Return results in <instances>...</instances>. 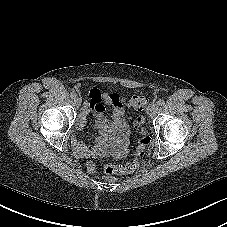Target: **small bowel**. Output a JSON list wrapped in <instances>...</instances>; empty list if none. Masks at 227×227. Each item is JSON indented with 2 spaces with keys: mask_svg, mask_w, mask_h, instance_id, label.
Returning <instances> with one entry per match:
<instances>
[{
  "mask_svg": "<svg viewBox=\"0 0 227 227\" xmlns=\"http://www.w3.org/2000/svg\"><path fill=\"white\" fill-rule=\"evenodd\" d=\"M111 109V121L108 122L104 112L105 107ZM95 117L99 135L92 146L72 137V147L79 157H91L95 155L123 156L126 152L129 129L125 122V112L122 98L115 93H102L98 89L89 91V100L85 102L79 118L75 124V130L81 131L88 118Z\"/></svg>",
  "mask_w": 227,
  "mask_h": 227,
  "instance_id": "c3829d8e",
  "label": "small bowel"
}]
</instances>
